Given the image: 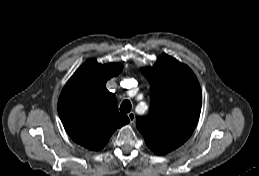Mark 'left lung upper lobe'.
Segmentation results:
<instances>
[{
  "label": "left lung upper lobe",
  "instance_id": "1",
  "mask_svg": "<svg viewBox=\"0 0 259 176\" xmlns=\"http://www.w3.org/2000/svg\"><path fill=\"white\" fill-rule=\"evenodd\" d=\"M141 71L151 86V109L146 118H137L136 126L147 146L164 155L194 131L202 105L201 88L193 71L167 54Z\"/></svg>",
  "mask_w": 259,
  "mask_h": 176
}]
</instances>
